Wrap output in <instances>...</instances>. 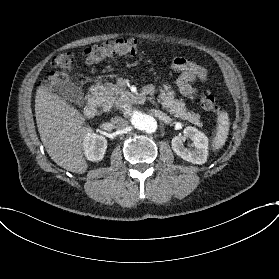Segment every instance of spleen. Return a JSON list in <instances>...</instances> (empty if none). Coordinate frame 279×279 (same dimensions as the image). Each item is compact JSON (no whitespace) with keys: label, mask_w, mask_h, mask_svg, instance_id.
<instances>
[{"label":"spleen","mask_w":279,"mask_h":279,"mask_svg":"<svg viewBox=\"0 0 279 279\" xmlns=\"http://www.w3.org/2000/svg\"><path fill=\"white\" fill-rule=\"evenodd\" d=\"M230 129L228 113L223 111L218 114L215 134L210 142V150L213 153L220 151L226 144Z\"/></svg>","instance_id":"obj_1"}]
</instances>
